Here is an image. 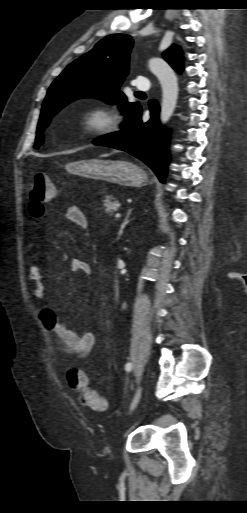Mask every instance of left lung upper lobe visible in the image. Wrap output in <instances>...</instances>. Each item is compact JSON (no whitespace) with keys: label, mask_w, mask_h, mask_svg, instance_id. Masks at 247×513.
Masks as SVG:
<instances>
[{"label":"left lung upper lobe","mask_w":247,"mask_h":513,"mask_svg":"<svg viewBox=\"0 0 247 513\" xmlns=\"http://www.w3.org/2000/svg\"><path fill=\"white\" fill-rule=\"evenodd\" d=\"M133 40L129 35L112 34L100 40L57 77L48 89L43 103L35 148L43 143L42 131L49 120L65 105L82 97H98L110 103H119L129 115L138 103H129L119 91L128 73L129 55ZM165 60L176 69L183 64L179 46L173 45L164 54Z\"/></svg>","instance_id":"obj_1"}]
</instances>
